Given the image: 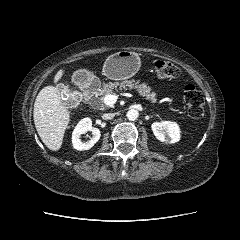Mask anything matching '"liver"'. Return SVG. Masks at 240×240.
I'll list each match as a JSON object with an SVG mask.
<instances>
[{
	"label": "liver",
	"instance_id": "6515ba94",
	"mask_svg": "<svg viewBox=\"0 0 240 240\" xmlns=\"http://www.w3.org/2000/svg\"><path fill=\"white\" fill-rule=\"evenodd\" d=\"M64 70H59L54 82L61 79ZM57 87L46 86L37 95L33 118L42 142L53 151L61 148L65 130L70 121V113L63 106Z\"/></svg>",
	"mask_w": 240,
	"mask_h": 240
}]
</instances>
